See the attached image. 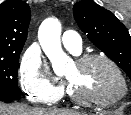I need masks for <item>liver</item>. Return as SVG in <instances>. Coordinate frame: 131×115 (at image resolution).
<instances>
[{
	"instance_id": "1",
	"label": "liver",
	"mask_w": 131,
	"mask_h": 115,
	"mask_svg": "<svg viewBox=\"0 0 131 115\" xmlns=\"http://www.w3.org/2000/svg\"><path fill=\"white\" fill-rule=\"evenodd\" d=\"M0 115H81L79 112L60 110L32 108L25 104L2 105L0 104Z\"/></svg>"
}]
</instances>
